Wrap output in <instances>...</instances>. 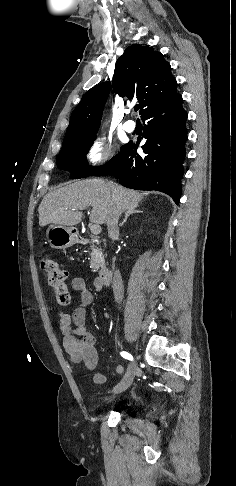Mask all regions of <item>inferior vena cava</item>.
<instances>
[{"label": "inferior vena cava", "instance_id": "inferior-vena-cava-1", "mask_svg": "<svg viewBox=\"0 0 236 486\" xmlns=\"http://www.w3.org/2000/svg\"><path fill=\"white\" fill-rule=\"evenodd\" d=\"M120 214H121L120 208L118 206H114L110 218L107 222L108 234L112 240H114L119 234L118 220ZM113 293H114L115 301L117 303H120L124 297V285L119 270H115L114 272Z\"/></svg>", "mask_w": 236, "mask_h": 486}]
</instances>
